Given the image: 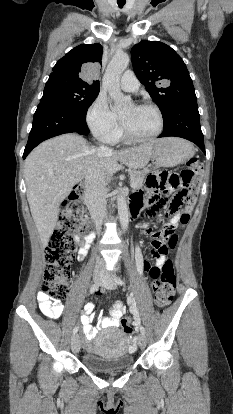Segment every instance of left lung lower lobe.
<instances>
[{"label":"left lung lower lobe","mask_w":233,"mask_h":414,"mask_svg":"<svg viewBox=\"0 0 233 414\" xmlns=\"http://www.w3.org/2000/svg\"><path fill=\"white\" fill-rule=\"evenodd\" d=\"M199 118L196 98L182 100L163 119L164 129L159 137L175 136L187 139L205 153Z\"/></svg>","instance_id":"0a47b994"}]
</instances>
